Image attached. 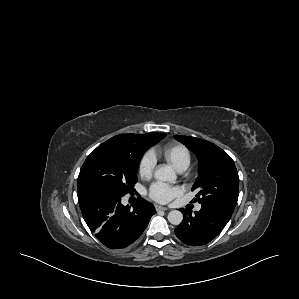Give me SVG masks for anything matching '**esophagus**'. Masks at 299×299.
<instances>
[{
    "mask_svg": "<svg viewBox=\"0 0 299 299\" xmlns=\"http://www.w3.org/2000/svg\"><path fill=\"white\" fill-rule=\"evenodd\" d=\"M155 209H156V211H159V210L166 211V210H168L167 207H163V206H159V205H156V206H155Z\"/></svg>",
    "mask_w": 299,
    "mask_h": 299,
    "instance_id": "34e87169",
    "label": "esophagus"
}]
</instances>
